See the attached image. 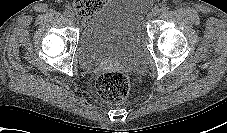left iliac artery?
<instances>
[{
	"mask_svg": "<svg viewBox=\"0 0 227 133\" xmlns=\"http://www.w3.org/2000/svg\"><path fill=\"white\" fill-rule=\"evenodd\" d=\"M160 11L162 12V13H167L168 11H169V8L168 7H162L161 9H160Z\"/></svg>",
	"mask_w": 227,
	"mask_h": 133,
	"instance_id": "obj_1",
	"label": "left iliac artery"
}]
</instances>
